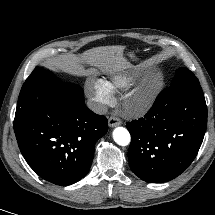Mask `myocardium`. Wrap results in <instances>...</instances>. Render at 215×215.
<instances>
[{
  "label": "myocardium",
  "instance_id": "myocardium-1",
  "mask_svg": "<svg viewBox=\"0 0 215 215\" xmlns=\"http://www.w3.org/2000/svg\"><path fill=\"white\" fill-rule=\"evenodd\" d=\"M149 99H150L149 94H141L135 98V103L138 106H145L148 103Z\"/></svg>",
  "mask_w": 215,
  "mask_h": 215
}]
</instances>
